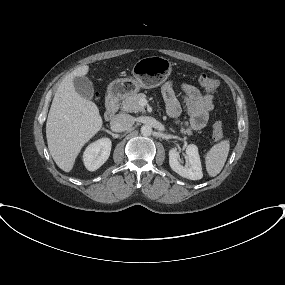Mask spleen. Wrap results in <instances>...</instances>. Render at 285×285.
Here are the masks:
<instances>
[{
	"instance_id": "obj_1",
	"label": "spleen",
	"mask_w": 285,
	"mask_h": 285,
	"mask_svg": "<svg viewBox=\"0 0 285 285\" xmlns=\"http://www.w3.org/2000/svg\"><path fill=\"white\" fill-rule=\"evenodd\" d=\"M230 150L228 139L223 140L210 148L205 155V165L209 176H217L223 169Z\"/></svg>"
}]
</instances>
